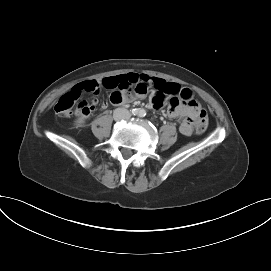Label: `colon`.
Returning a JSON list of instances; mask_svg holds the SVG:
<instances>
[{"mask_svg":"<svg viewBox=\"0 0 271 271\" xmlns=\"http://www.w3.org/2000/svg\"><path fill=\"white\" fill-rule=\"evenodd\" d=\"M87 89L88 90L85 91L95 92L93 85H89ZM82 91L83 90L81 88H74L70 92H67L64 95H62L55 104L54 107L55 112L62 116L71 115L73 113V108L77 103ZM181 98L185 101L195 102L194 99L190 98L188 95L185 94L181 95ZM194 123L196 132L198 134H201L206 130L208 125V118L205 110L201 109L197 112L194 118Z\"/></svg>","mask_w":271,"mask_h":271,"instance_id":"1","label":"colon"}]
</instances>
